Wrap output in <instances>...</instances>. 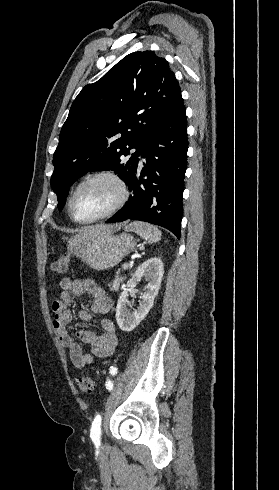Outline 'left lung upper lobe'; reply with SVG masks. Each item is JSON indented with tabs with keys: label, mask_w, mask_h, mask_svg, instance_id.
<instances>
[{
	"label": "left lung upper lobe",
	"mask_w": 279,
	"mask_h": 490,
	"mask_svg": "<svg viewBox=\"0 0 279 490\" xmlns=\"http://www.w3.org/2000/svg\"><path fill=\"white\" fill-rule=\"evenodd\" d=\"M181 99L167 61L152 51L128 54L86 85L72 103L53 155L50 183L59 210L70 186L88 171L115 170L128 183L151 130Z\"/></svg>",
	"instance_id": "5c2ea615"
}]
</instances>
